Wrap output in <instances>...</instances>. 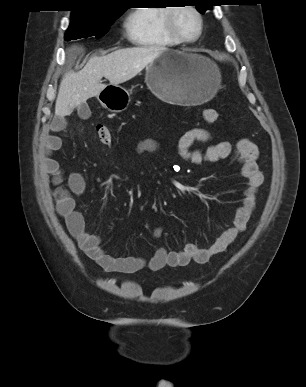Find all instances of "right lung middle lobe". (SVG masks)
<instances>
[{"mask_svg": "<svg viewBox=\"0 0 306 387\" xmlns=\"http://www.w3.org/2000/svg\"><path fill=\"white\" fill-rule=\"evenodd\" d=\"M123 12L97 17H71V23L66 31L65 39L70 41L90 36L101 38L109 31L110 26Z\"/></svg>", "mask_w": 306, "mask_h": 387, "instance_id": "right-lung-middle-lobe-1", "label": "right lung middle lobe"}]
</instances>
